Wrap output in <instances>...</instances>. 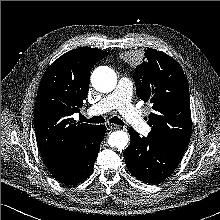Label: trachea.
I'll list each match as a JSON object with an SVG mask.
<instances>
[{
  "label": "trachea",
  "mask_w": 220,
  "mask_h": 220,
  "mask_svg": "<svg viewBox=\"0 0 220 220\" xmlns=\"http://www.w3.org/2000/svg\"><path fill=\"white\" fill-rule=\"evenodd\" d=\"M80 120L82 122H87V123H104L105 122V119L102 116H95V117H92L90 119H87L86 117L81 116ZM109 122H111L113 124H117V125L124 124V122L121 119H119L118 117H116V116L112 117L109 120Z\"/></svg>",
  "instance_id": "1"
}]
</instances>
